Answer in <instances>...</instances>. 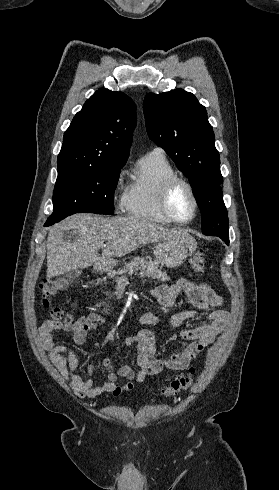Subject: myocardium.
Listing matches in <instances>:
<instances>
[{"label":"myocardium","mask_w":279,"mask_h":490,"mask_svg":"<svg viewBox=\"0 0 279 490\" xmlns=\"http://www.w3.org/2000/svg\"><path fill=\"white\" fill-rule=\"evenodd\" d=\"M181 186H185L188 189L193 202V212L191 216L186 220L178 219L173 210V198ZM161 206L164 214L174 223L179 225H186L192 222L196 217L199 208L196 190L192 182L180 175H175L168 178L162 192Z\"/></svg>","instance_id":"obj_1"}]
</instances>
